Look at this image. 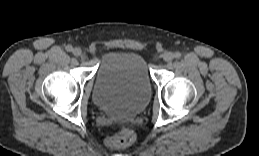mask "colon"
Instances as JSON below:
<instances>
[{"mask_svg": "<svg viewBox=\"0 0 259 156\" xmlns=\"http://www.w3.org/2000/svg\"><path fill=\"white\" fill-rule=\"evenodd\" d=\"M135 138V132L131 128L122 127L116 135L109 137L106 143L111 148H122L131 145Z\"/></svg>", "mask_w": 259, "mask_h": 156, "instance_id": "colon-1", "label": "colon"}]
</instances>
